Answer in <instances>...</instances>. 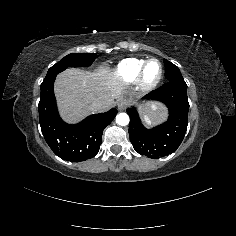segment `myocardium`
<instances>
[{"instance_id":"myocardium-1","label":"myocardium","mask_w":236,"mask_h":236,"mask_svg":"<svg viewBox=\"0 0 236 236\" xmlns=\"http://www.w3.org/2000/svg\"><path fill=\"white\" fill-rule=\"evenodd\" d=\"M153 61H157L160 64L161 74H160V76L158 77V79L156 81H154L152 83H146L145 80H144L145 72H146V69H147L149 63H151ZM163 78H164V65H163L162 61L157 59V58H150V59L145 61L142 68L140 69L139 74H138L137 79H136V84H137V87L141 91L151 92L159 86V84L161 83Z\"/></svg>"}]
</instances>
